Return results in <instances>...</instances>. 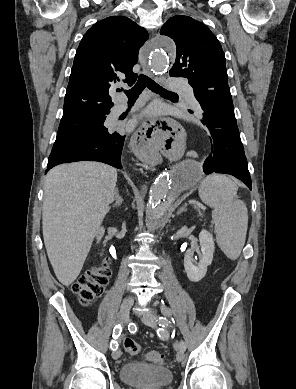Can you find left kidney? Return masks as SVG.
Segmentation results:
<instances>
[{"label": "left kidney", "mask_w": 296, "mask_h": 389, "mask_svg": "<svg viewBox=\"0 0 296 389\" xmlns=\"http://www.w3.org/2000/svg\"><path fill=\"white\" fill-rule=\"evenodd\" d=\"M201 254L197 263L193 257L195 247L187 250L184 256V268L187 277L192 282H199L206 274L207 267L211 265L215 251L214 240L210 232L202 230L199 234Z\"/></svg>", "instance_id": "left-kidney-1"}]
</instances>
